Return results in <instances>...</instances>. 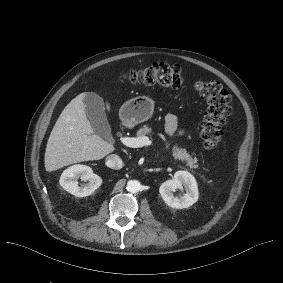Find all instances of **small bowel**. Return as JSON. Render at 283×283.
I'll return each instance as SVG.
<instances>
[{
  "label": "small bowel",
  "instance_id": "c3829d8e",
  "mask_svg": "<svg viewBox=\"0 0 283 283\" xmlns=\"http://www.w3.org/2000/svg\"><path fill=\"white\" fill-rule=\"evenodd\" d=\"M165 131L172 137L184 134V130L178 128V119L176 115L169 113L165 116Z\"/></svg>",
  "mask_w": 283,
  "mask_h": 283
}]
</instances>
